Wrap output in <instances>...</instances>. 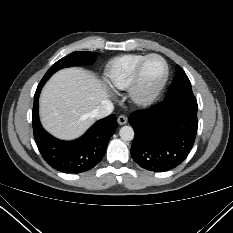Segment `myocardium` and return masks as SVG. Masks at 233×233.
I'll return each instance as SVG.
<instances>
[{
    "instance_id": "f54148a6",
    "label": "myocardium",
    "mask_w": 233,
    "mask_h": 233,
    "mask_svg": "<svg viewBox=\"0 0 233 233\" xmlns=\"http://www.w3.org/2000/svg\"><path fill=\"white\" fill-rule=\"evenodd\" d=\"M151 58H158L160 59L165 67V72L160 80V82L151 87V88H146L142 84V73L144 70V67L146 63L151 59ZM169 78V66L166 62V60L159 54H149L145 56V58L139 63L137 66L130 87H129V96L131 100L139 105H145L149 104L152 101L155 100V98L160 94V92L163 90L165 87L167 81Z\"/></svg>"
}]
</instances>
